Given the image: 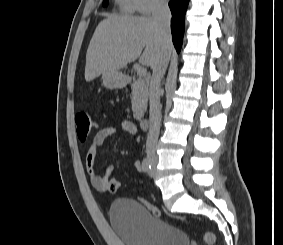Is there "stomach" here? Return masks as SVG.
Wrapping results in <instances>:
<instances>
[{
  "mask_svg": "<svg viewBox=\"0 0 283 245\" xmlns=\"http://www.w3.org/2000/svg\"><path fill=\"white\" fill-rule=\"evenodd\" d=\"M103 85L108 89L121 88L125 85V76L119 70H110L102 73Z\"/></svg>",
  "mask_w": 283,
  "mask_h": 245,
  "instance_id": "1",
  "label": "stomach"
}]
</instances>
